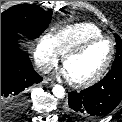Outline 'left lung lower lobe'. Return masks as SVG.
Returning a JSON list of instances; mask_svg holds the SVG:
<instances>
[{
    "mask_svg": "<svg viewBox=\"0 0 122 122\" xmlns=\"http://www.w3.org/2000/svg\"><path fill=\"white\" fill-rule=\"evenodd\" d=\"M122 100V65L111 68L97 84L68 93L66 112L76 118L91 120L113 111Z\"/></svg>",
    "mask_w": 122,
    "mask_h": 122,
    "instance_id": "1",
    "label": "left lung lower lobe"
}]
</instances>
